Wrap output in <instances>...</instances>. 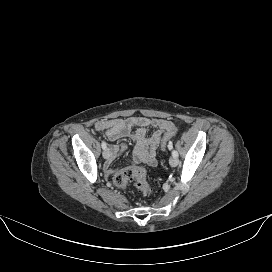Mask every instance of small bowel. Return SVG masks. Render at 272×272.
Segmentation results:
<instances>
[{
	"label": "small bowel",
	"mask_w": 272,
	"mask_h": 272,
	"mask_svg": "<svg viewBox=\"0 0 272 272\" xmlns=\"http://www.w3.org/2000/svg\"><path fill=\"white\" fill-rule=\"evenodd\" d=\"M173 126V123L168 119L133 116L125 119L116 118L99 121L95 124V129L104 132L111 141L130 138L133 142L134 163L155 166L157 164L156 149L160 144L162 135ZM148 128H154L155 131L148 135ZM126 148L125 144L112 145V157L121 154ZM106 172L109 174L112 172L109 164L106 166Z\"/></svg>",
	"instance_id": "obj_1"
}]
</instances>
